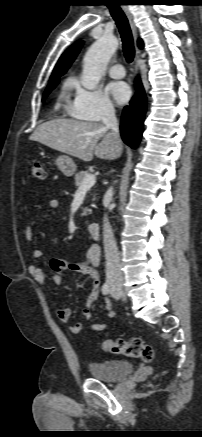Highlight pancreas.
I'll use <instances>...</instances> for the list:
<instances>
[{
	"label": "pancreas",
	"mask_w": 202,
	"mask_h": 437,
	"mask_svg": "<svg viewBox=\"0 0 202 437\" xmlns=\"http://www.w3.org/2000/svg\"><path fill=\"white\" fill-rule=\"evenodd\" d=\"M88 175H91V173H89L88 171H81L77 173L74 178L76 187H79L82 184L84 178ZM89 212L90 210L88 208H84L82 216H86Z\"/></svg>",
	"instance_id": "obj_1"
}]
</instances>
